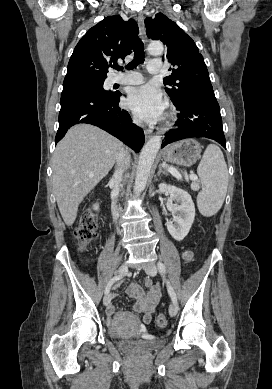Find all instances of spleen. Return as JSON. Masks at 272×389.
<instances>
[{"mask_svg":"<svg viewBox=\"0 0 272 389\" xmlns=\"http://www.w3.org/2000/svg\"><path fill=\"white\" fill-rule=\"evenodd\" d=\"M202 190L197 196L199 212L213 216L222 207L228 187V169L221 149L214 144L207 146L197 168Z\"/></svg>","mask_w":272,"mask_h":389,"instance_id":"spleen-1","label":"spleen"}]
</instances>
